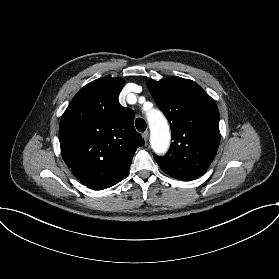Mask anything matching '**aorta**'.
Masks as SVG:
<instances>
[{
  "instance_id": "1",
  "label": "aorta",
  "mask_w": 279,
  "mask_h": 279,
  "mask_svg": "<svg viewBox=\"0 0 279 279\" xmlns=\"http://www.w3.org/2000/svg\"><path fill=\"white\" fill-rule=\"evenodd\" d=\"M151 128V145L156 153L162 154L169 147L170 133L166 118L161 112L152 110L148 113Z\"/></svg>"
}]
</instances>
